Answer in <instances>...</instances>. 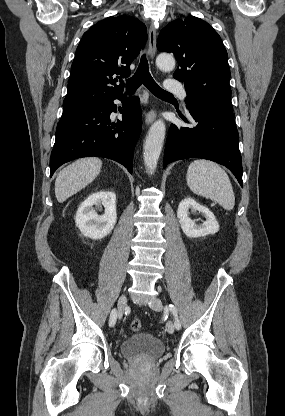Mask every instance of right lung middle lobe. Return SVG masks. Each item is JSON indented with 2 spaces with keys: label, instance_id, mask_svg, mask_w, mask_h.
<instances>
[{
  "label": "right lung middle lobe",
  "instance_id": "obj_1",
  "mask_svg": "<svg viewBox=\"0 0 285 416\" xmlns=\"http://www.w3.org/2000/svg\"><path fill=\"white\" fill-rule=\"evenodd\" d=\"M92 106H96V105H80V104H78V105H63V112L83 109V108L92 107Z\"/></svg>",
  "mask_w": 285,
  "mask_h": 416
}]
</instances>
